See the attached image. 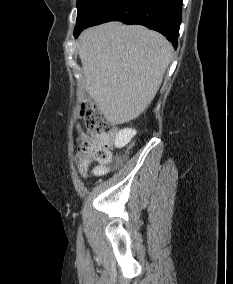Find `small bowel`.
<instances>
[{
  "label": "small bowel",
  "mask_w": 233,
  "mask_h": 284,
  "mask_svg": "<svg viewBox=\"0 0 233 284\" xmlns=\"http://www.w3.org/2000/svg\"><path fill=\"white\" fill-rule=\"evenodd\" d=\"M121 162V160H115L113 162L112 166H106V165H98V166H94L91 168V166H88L80 161H78V169H79V173L82 177H86L88 175V172L90 169H92V172L97 175V176H101L104 175L106 173L109 172V170L111 169V167L117 166L119 163Z\"/></svg>",
  "instance_id": "obj_1"
}]
</instances>
